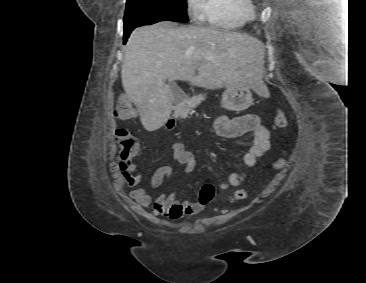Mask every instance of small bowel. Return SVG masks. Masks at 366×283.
I'll use <instances>...</instances> for the list:
<instances>
[{
	"label": "small bowel",
	"instance_id": "small-bowel-1",
	"mask_svg": "<svg viewBox=\"0 0 366 283\" xmlns=\"http://www.w3.org/2000/svg\"><path fill=\"white\" fill-rule=\"evenodd\" d=\"M214 129L216 133L225 139H234L241 136H251V146L243 156V162L247 167H253L258 158L265 154L270 147L269 130L262 125L261 119L256 114H246L235 118H229L226 115H217L214 119ZM173 159L183 165L186 174L191 173L196 161L193 154L187 151L182 142H175L172 146ZM173 173L170 165H163L156 169L151 177L149 189L138 187L142 176L137 171L134 164H121V179L125 185L131 187L128 192L129 197L141 208L153 207L155 215L163 216L171 220L180 218L183 215H192L198 212L202 205L189 200H177L173 193L160 194L153 199V193L157 191L165 179ZM245 172L231 173L227 183L222 185L223 189L229 186H240L246 179Z\"/></svg>",
	"mask_w": 366,
	"mask_h": 283
}]
</instances>
